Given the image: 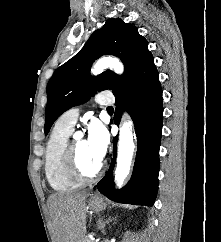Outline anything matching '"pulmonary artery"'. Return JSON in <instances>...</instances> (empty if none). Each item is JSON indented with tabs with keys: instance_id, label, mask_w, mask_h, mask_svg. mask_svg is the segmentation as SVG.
Here are the masks:
<instances>
[{
	"instance_id": "1",
	"label": "pulmonary artery",
	"mask_w": 221,
	"mask_h": 242,
	"mask_svg": "<svg viewBox=\"0 0 221 242\" xmlns=\"http://www.w3.org/2000/svg\"><path fill=\"white\" fill-rule=\"evenodd\" d=\"M96 103L100 105H108L112 103L111 95L109 92H103L95 98ZM80 113L79 107H74L67 110L56 122V125L64 130L72 132L78 120Z\"/></svg>"
}]
</instances>
